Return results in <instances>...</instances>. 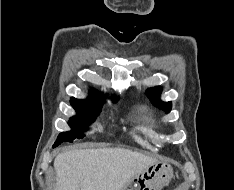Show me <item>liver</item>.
Listing matches in <instances>:
<instances>
[{
    "instance_id": "6515ba94",
    "label": "liver",
    "mask_w": 234,
    "mask_h": 190,
    "mask_svg": "<svg viewBox=\"0 0 234 190\" xmlns=\"http://www.w3.org/2000/svg\"><path fill=\"white\" fill-rule=\"evenodd\" d=\"M156 159L124 148L75 149L54 160L56 190H122Z\"/></svg>"
}]
</instances>
